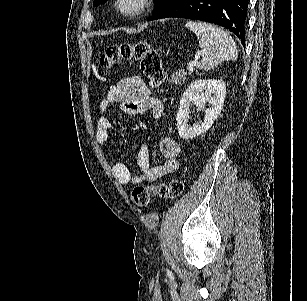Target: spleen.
Here are the masks:
<instances>
[{"label": "spleen", "mask_w": 307, "mask_h": 301, "mask_svg": "<svg viewBox=\"0 0 307 301\" xmlns=\"http://www.w3.org/2000/svg\"><path fill=\"white\" fill-rule=\"evenodd\" d=\"M186 26L195 32L200 48L205 50L199 64L202 70H210L223 60H237V46L232 36L223 28L210 22H194V20H188Z\"/></svg>", "instance_id": "spleen-1"}]
</instances>
